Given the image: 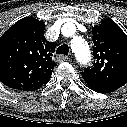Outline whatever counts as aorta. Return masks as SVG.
Segmentation results:
<instances>
[{"instance_id":"762f6f07","label":"aorta","mask_w":127,"mask_h":127,"mask_svg":"<svg viewBox=\"0 0 127 127\" xmlns=\"http://www.w3.org/2000/svg\"><path fill=\"white\" fill-rule=\"evenodd\" d=\"M72 43L78 61L81 64L87 65L91 61V53L88 44L79 37H76Z\"/></svg>"}]
</instances>
